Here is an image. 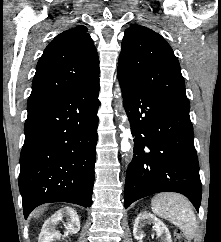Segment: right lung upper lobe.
<instances>
[{"instance_id":"1","label":"right lung upper lobe","mask_w":221,"mask_h":242,"mask_svg":"<svg viewBox=\"0 0 221 242\" xmlns=\"http://www.w3.org/2000/svg\"><path fill=\"white\" fill-rule=\"evenodd\" d=\"M87 28L57 35L38 61L28 103L62 96L99 74V59Z\"/></svg>"}]
</instances>
